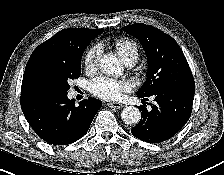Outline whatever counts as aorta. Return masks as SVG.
<instances>
[{"instance_id": "1", "label": "aorta", "mask_w": 224, "mask_h": 175, "mask_svg": "<svg viewBox=\"0 0 224 175\" xmlns=\"http://www.w3.org/2000/svg\"><path fill=\"white\" fill-rule=\"evenodd\" d=\"M100 68L106 74L121 75L123 72V66L121 61L113 54L108 53L104 55L100 61ZM122 121L128 125H135L141 119V113L135 106H127L122 110L121 113Z\"/></svg>"}]
</instances>
